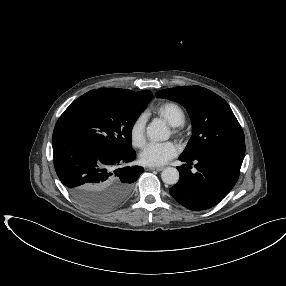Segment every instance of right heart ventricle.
<instances>
[{
  "mask_svg": "<svg viewBox=\"0 0 286 286\" xmlns=\"http://www.w3.org/2000/svg\"><path fill=\"white\" fill-rule=\"evenodd\" d=\"M153 112L163 118L171 126H182L186 122L184 109L174 102H164L157 105Z\"/></svg>",
  "mask_w": 286,
  "mask_h": 286,
  "instance_id": "right-heart-ventricle-1",
  "label": "right heart ventricle"
}]
</instances>
